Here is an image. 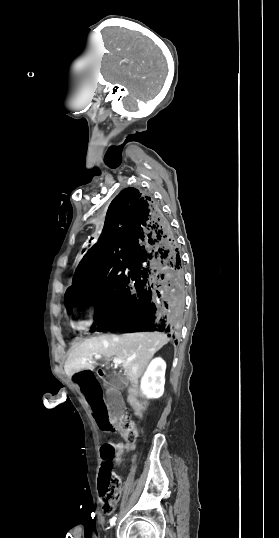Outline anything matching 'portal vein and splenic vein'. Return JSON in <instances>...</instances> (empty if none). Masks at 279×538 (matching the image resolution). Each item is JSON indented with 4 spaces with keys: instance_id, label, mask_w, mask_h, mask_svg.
I'll use <instances>...</instances> for the list:
<instances>
[{
    "instance_id": "18ae733b",
    "label": "portal vein and splenic vein",
    "mask_w": 279,
    "mask_h": 538,
    "mask_svg": "<svg viewBox=\"0 0 279 538\" xmlns=\"http://www.w3.org/2000/svg\"><path fill=\"white\" fill-rule=\"evenodd\" d=\"M101 356H104V353H101ZM101 356H95V358H101ZM113 362L115 366H118V364H122V360H119V358H114Z\"/></svg>"
}]
</instances>
